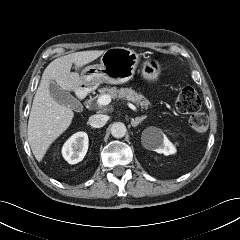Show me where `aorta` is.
<instances>
[{
    "instance_id": "aorta-1",
    "label": "aorta",
    "mask_w": 240,
    "mask_h": 240,
    "mask_svg": "<svg viewBox=\"0 0 240 240\" xmlns=\"http://www.w3.org/2000/svg\"><path fill=\"white\" fill-rule=\"evenodd\" d=\"M126 126L121 122H116L111 126V134L115 138H122L126 134Z\"/></svg>"
}]
</instances>
